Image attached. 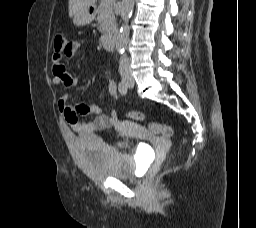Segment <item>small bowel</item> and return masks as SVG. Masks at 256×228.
I'll return each mask as SVG.
<instances>
[{
  "mask_svg": "<svg viewBox=\"0 0 256 228\" xmlns=\"http://www.w3.org/2000/svg\"><path fill=\"white\" fill-rule=\"evenodd\" d=\"M80 47L81 44L78 41H72L67 44L66 50L62 54H53L52 72L54 84H63L68 88L77 86L78 79L68 73L63 63V58H73ZM108 92L112 97L117 98L116 84L113 80L108 82ZM58 108L65 121L74 131L79 133L120 126V120L115 110L109 115H105L97 105L71 104V97L68 95H64L58 100ZM89 114H93L95 118L92 121L83 122L81 117Z\"/></svg>",
  "mask_w": 256,
  "mask_h": 228,
  "instance_id": "c3829d8e",
  "label": "small bowel"
}]
</instances>
